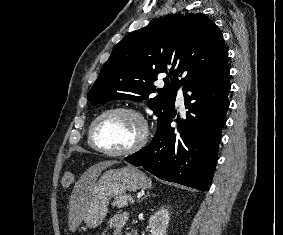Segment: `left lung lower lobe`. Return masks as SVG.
<instances>
[{"mask_svg":"<svg viewBox=\"0 0 283 235\" xmlns=\"http://www.w3.org/2000/svg\"><path fill=\"white\" fill-rule=\"evenodd\" d=\"M227 61L187 82L183 89L186 119L173 112L158 126L150 145L125 160L160 179L209 190L217 162L221 129L226 122L230 91Z\"/></svg>","mask_w":283,"mask_h":235,"instance_id":"0a47b994","label":"left lung lower lobe"}]
</instances>
